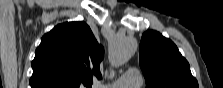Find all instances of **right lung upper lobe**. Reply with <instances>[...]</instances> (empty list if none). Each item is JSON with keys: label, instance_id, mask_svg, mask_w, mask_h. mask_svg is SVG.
<instances>
[{"label": "right lung upper lobe", "instance_id": "cb5924a9", "mask_svg": "<svg viewBox=\"0 0 223 88\" xmlns=\"http://www.w3.org/2000/svg\"><path fill=\"white\" fill-rule=\"evenodd\" d=\"M103 47L83 21L67 22L45 34L32 61V88H89L100 79Z\"/></svg>", "mask_w": 223, "mask_h": 88}]
</instances>
